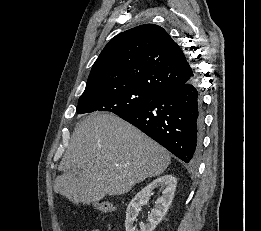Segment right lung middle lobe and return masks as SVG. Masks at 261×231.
<instances>
[{
  "mask_svg": "<svg viewBox=\"0 0 261 231\" xmlns=\"http://www.w3.org/2000/svg\"><path fill=\"white\" fill-rule=\"evenodd\" d=\"M157 95L138 87H123L114 90L82 94L77 113L110 111L116 115L132 112L152 101Z\"/></svg>",
  "mask_w": 261,
  "mask_h": 231,
  "instance_id": "obj_1",
  "label": "right lung middle lobe"
}]
</instances>
